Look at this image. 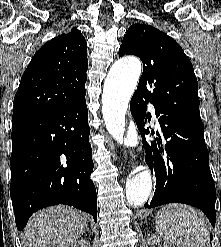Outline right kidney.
<instances>
[{"label": "right kidney", "mask_w": 221, "mask_h": 247, "mask_svg": "<svg viewBox=\"0 0 221 247\" xmlns=\"http://www.w3.org/2000/svg\"><path fill=\"white\" fill-rule=\"evenodd\" d=\"M71 247H91L90 242L87 240H78L71 245Z\"/></svg>", "instance_id": "ca27d5eb"}]
</instances>
